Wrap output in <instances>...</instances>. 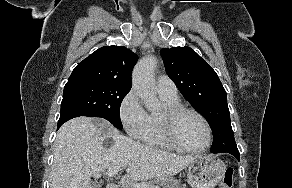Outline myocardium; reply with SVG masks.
I'll return each mask as SVG.
<instances>
[{
  "label": "myocardium",
  "instance_id": "1",
  "mask_svg": "<svg viewBox=\"0 0 292 188\" xmlns=\"http://www.w3.org/2000/svg\"><path fill=\"white\" fill-rule=\"evenodd\" d=\"M185 114H193L203 122L207 132V141L203 147L198 149L187 148L178 140L175 132V126L178 119ZM159 126L161 133L166 141L172 147L179 151L191 154H199L207 151L211 145L213 137L211 125L202 113L193 108L185 107L182 105L166 107L164 111L159 115Z\"/></svg>",
  "mask_w": 292,
  "mask_h": 188
}]
</instances>
